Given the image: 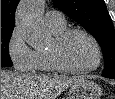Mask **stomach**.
Here are the masks:
<instances>
[{
	"label": "stomach",
	"instance_id": "1",
	"mask_svg": "<svg viewBox=\"0 0 115 99\" xmlns=\"http://www.w3.org/2000/svg\"><path fill=\"white\" fill-rule=\"evenodd\" d=\"M101 87L95 82L82 78L69 89V99H100Z\"/></svg>",
	"mask_w": 115,
	"mask_h": 99
}]
</instances>
